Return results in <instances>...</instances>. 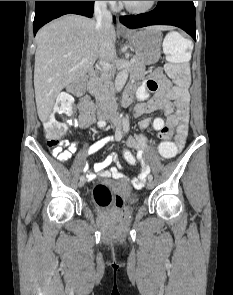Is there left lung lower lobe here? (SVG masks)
<instances>
[{
	"label": "left lung lower lobe",
	"instance_id": "obj_1",
	"mask_svg": "<svg viewBox=\"0 0 233 295\" xmlns=\"http://www.w3.org/2000/svg\"><path fill=\"white\" fill-rule=\"evenodd\" d=\"M120 22L128 28L164 24L177 26L196 40L195 7L193 1H158L154 10L139 15L122 16Z\"/></svg>",
	"mask_w": 233,
	"mask_h": 295
}]
</instances>
